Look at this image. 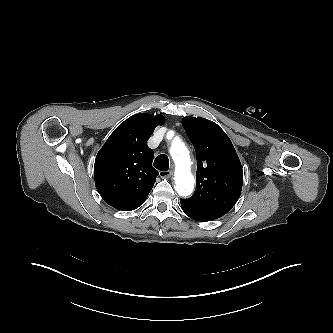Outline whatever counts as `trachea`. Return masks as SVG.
Segmentation results:
<instances>
[{
  "label": "trachea",
  "mask_w": 333,
  "mask_h": 333,
  "mask_svg": "<svg viewBox=\"0 0 333 333\" xmlns=\"http://www.w3.org/2000/svg\"><path fill=\"white\" fill-rule=\"evenodd\" d=\"M154 167L160 171H167L169 169V159L167 155H158L154 161Z\"/></svg>",
  "instance_id": "obj_1"
}]
</instances>
